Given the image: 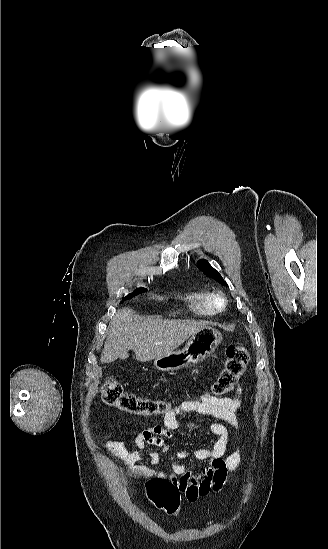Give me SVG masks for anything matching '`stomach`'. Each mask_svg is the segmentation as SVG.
Returning <instances> with one entry per match:
<instances>
[{
  "instance_id": "obj_1",
  "label": "stomach",
  "mask_w": 328,
  "mask_h": 549,
  "mask_svg": "<svg viewBox=\"0 0 328 549\" xmlns=\"http://www.w3.org/2000/svg\"><path fill=\"white\" fill-rule=\"evenodd\" d=\"M222 341V335L213 327H203L192 335L184 349L168 353L155 359L154 365L158 371H178L183 367H194L215 353Z\"/></svg>"
}]
</instances>
